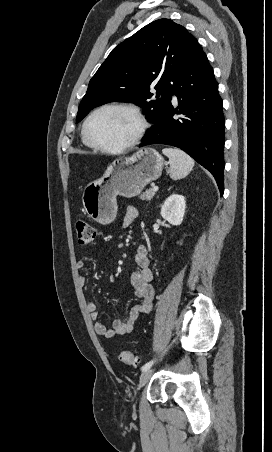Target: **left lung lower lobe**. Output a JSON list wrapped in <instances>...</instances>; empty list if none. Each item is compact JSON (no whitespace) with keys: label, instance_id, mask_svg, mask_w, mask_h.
<instances>
[{"label":"left lung lower lobe","instance_id":"0a47b994","mask_svg":"<svg viewBox=\"0 0 272 452\" xmlns=\"http://www.w3.org/2000/svg\"><path fill=\"white\" fill-rule=\"evenodd\" d=\"M173 94L178 98L177 108L171 104ZM171 96L140 147L167 144L181 148L212 173L223 195V102L213 69L199 43L174 81ZM174 114L181 117L174 119Z\"/></svg>","mask_w":272,"mask_h":452}]
</instances>
